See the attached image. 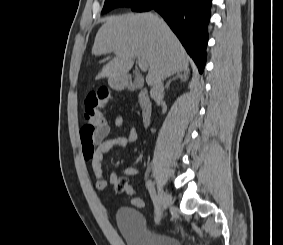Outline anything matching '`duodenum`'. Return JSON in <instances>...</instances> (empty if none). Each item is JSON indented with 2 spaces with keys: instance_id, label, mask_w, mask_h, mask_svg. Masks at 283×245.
<instances>
[{
  "instance_id": "duodenum-1",
  "label": "duodenum",
  "mask_w": 283,
  "mask_h": 245,
  "mask_svg": "<svg viewBox=\"0 0 283 245\" xmlns=\"http://www.w3.org/2000/svg\"><path fill=\"white\" fill-rule=\"evenodd\" d=\"M125 85L130 89L135 88L133 82L130 79H127L125 81ZM138 101H139V106L141 108L142 122L144 126H147L150 122V117H151V102L148 92L145 88L139 89Z\"/></svg>"
}]
</instances>
